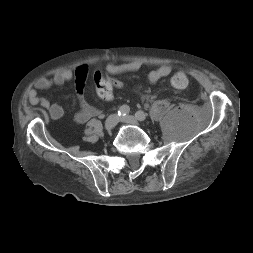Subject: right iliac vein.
<instances>
[{
    "label": "right iliac vein",
    "instance_id": "right-iliac-vein-1",
    "mask_svg": "<svg viewBox=\"0 0 253 253\" xmlns=\"http://www.w3.org/2000/svg\"><path fill=\"white\" fill-rule=\"evenodd\" d=\"M119 117L116 114H111L107 117L104 127L107 131H111L117 124Z\"/></svg>",
    "mask_w": 253,
    "mask_h": 253
}]
</instances>
